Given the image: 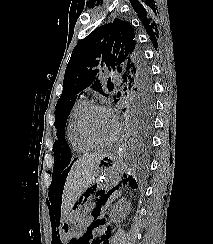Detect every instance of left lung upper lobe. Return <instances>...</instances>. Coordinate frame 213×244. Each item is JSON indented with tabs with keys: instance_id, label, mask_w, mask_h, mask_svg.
Segmentation results:
<instances>
[{
	"instance_id": "obj_1",
	"label": "left lung upper lobe",
	"mask_w": 213,
	"mask_h": 244,
	"mask_svg": "<svg viewBox=\"0 0 213 244\" xmlns=\"http://www.w3.org/2000/svg\"><path fill=\"white\" fill-rule=\"evenodd\" d=\"M108 71L121 74L129 108L154 113V93L150 70L135 41L130 23L115 19L95 29L74 48L65 70L63 91L56 104L55 128L57 140L55 152L62 156L69 153L65 140V125L77 95L93 88L104 96L118 101L116 96L106 95L102 88L103 76ZM108 90L114 88L110 79ZM117 95V97H119ZM62 163V160H61Z\"/></svg>"
}]
</instances>
